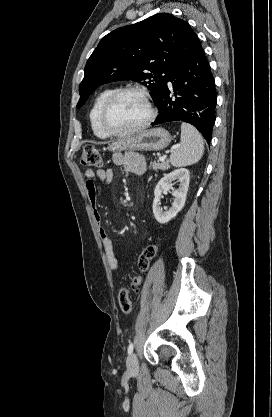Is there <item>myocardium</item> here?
Here are the masks:
<instances>
[{
  "label": "myocardium",
  "mask_w": 272,
  "mask_h": 417,
  "mask_svg": "<svg viewBox=\"0 0 272 417\" xmlns=\"http://www.w3.org/2000/svg\"><path fill=\"white\" fill-rule=\"evenodd\" d=\"M125 94H136L138 96H140L148 109V116L147 118L138 126L127 130V131H123V132H118V131H113L112 129H110L107 125V114L108 111L110 109V107L112 106V104L122 95ZM156 117V109L155 106L153 104V101L150 97V95L144 91L141 88L138 87H124V88H120L117 90H114L105 100V102L103 103L101 110H100V114H99V123H100V127L103 130V132L107 135V136H111V137H127V136H131L133 134H136L138 132H141L142 130L146 129L155 119Z\"/></svg>",
  "instance_id": "obj_1"
}]
</instances>
